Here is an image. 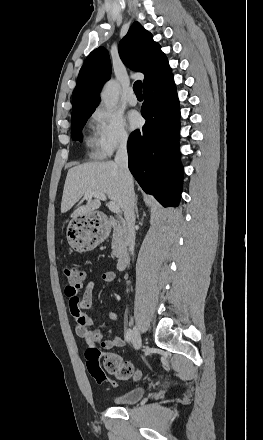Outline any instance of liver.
<instances>
[{"label": "liver", "mask_w": 263, "mask_h": 440, "mask_svg": "<svg viewBox=\"0 0 263 440\" xmlns=\"http://www.w3.org/2000/svg\"><path fill=\"white\" fill-rule=\"evenodd\" d=\"M123 184L118 166L113 161L88 162L74 166L68 170L62 202L61 212L65 213L78 202L87 192H101L108 196L123 209ZM86 205L78 207L71 217L94 213L101 203L98 198H86Z\"/></svg>", "instance_id": "obj_1"}]
</instances>
